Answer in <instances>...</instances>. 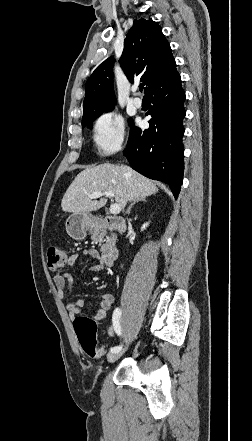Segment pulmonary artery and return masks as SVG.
Here are the masks:
<instances>
[{
  "label": "pulmonary artery",
  "mask_w": 252,
  "mask_h": 441,
  "mask_svg": "<svg viewBox=\"0 0 252 441\" xmlns=\"http://www.w3.org/2000/svg\"><path fill=\"white\" fill-rule=\"evenodd\" d=\"M132 103L136 108H140L142 106V100L139 97H134Z\"/></svg>",
  "instance_id": "e3ab8cb5"
}]
</instances>
